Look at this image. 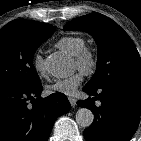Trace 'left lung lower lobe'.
<instances>
[{"label": "left lung lower lobe", "mask_w": 141, "mask_h": 141, "mask_svg": "<svg viewBox=\"0 0 141 141\" xmlns=\"http://www.w3.org/2000/svg\"><path fill=\"white\" fill-rule=\"evenodd\" d=\"M84 91L95 96L77 102L95 115L84 130L86 141H129L140 121L141 84L119 82L98 89L85 86ZM95 100L101 101L100 107L95 106Z\"/></svg>", "instance_id": "obj_1"}]
</instances>
